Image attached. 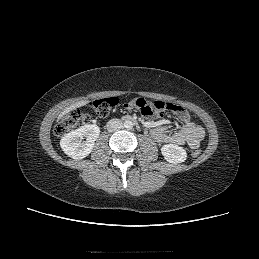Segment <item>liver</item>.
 Returning <instances> with one entry per match:
<instances>
[{"instance_id":"6515ba94","label":"liver","mask_w":259,"mask_h":259,"mask_svg":"<svg viewBox=\"0 0 259 259\" xmlns=\"http://www.w3.org/2000/svg\"><path fill=\"white\" fill-rule=\"evenodd\" d=\"M87 103H88V101H79V102H76V103L70 105L69 107L64 109V111L58 116V120H60L69 111L74 110V109L79 108V107H82V106L86 105Z\"/></svg>"}]
</instances>
